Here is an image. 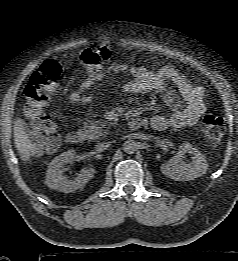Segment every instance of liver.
Here are the masks:
<instances>
[{"mask_svg":"<svg viewBox=\"0 0 238 261\" xmlns=\"http://www.w3.org/2000/svg\"><path fill=\"white\" fill-rule=\"evenodd\" d=\"M14 142L20 158L28 161L36 145L31 142L26 126L21 120L15 121L14 124Z\"/></svg>","mask_w":238,"mask_h":261,"instance_id":"1","label":"liver"}]
</instances>
